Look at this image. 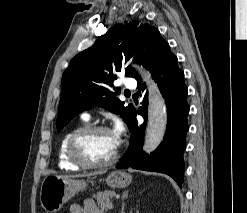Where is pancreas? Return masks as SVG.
Listing matches in <instances>:
<instances>
[{"label": "pancreas", "mask_w": 247, "mask_h": 213, "mask_svg": "<svg viewBox=\"0 0 247 213\" xmlns=\"http://www.w3.org/2000/svg\"><path fill=\"white\" fill-rule=\"evenodd\" d=\"M115 196V193L113 191H104V192H98L93 196V198L97 201L98 206L101 209L106 210L107 204L109 201Z\"/></svg>", "instance_id": "obj_1"}]
</instances>
